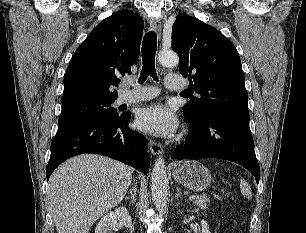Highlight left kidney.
I'll return each mask as SVG.
<instances>
[{
  "instance_id": "left-kidney-1",
  "label": "left kidney",
  "mask_w": 306,
  "mask_h": 233,
  "mask_svg": "<svg viewBox=\"0 0 306 233\" xmlns=\"http://www.w3.org/2000/svg\"><path fill=\"white\" fill-rule=\"evenodd\" d=\"M202 233H210L209 225L205 220H201Z\"/></svg>"
}]
</instances>
